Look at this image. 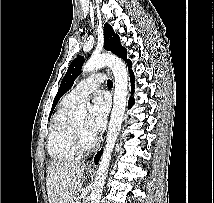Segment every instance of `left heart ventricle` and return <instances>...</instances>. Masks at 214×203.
I'll list each match as a JSON object with an SVG mask.
<instances>
[{
	"label": "left heart ventricle",
	"instance_id": "left-heart-ventricle-1",
	"mask_svg": "<svg viewBox=\"0 0 214 203\" xmlns=\"http://www.w3.org/2000/svg\"><path fill=\"white\" fill-rule=\"evenodd\" d=\"M75 124H76L80 129H82V131L84 132L86 141H90L91 136H92L93 134H91V133L87 130V128H86V120H85V119H81V120L77 121Z\"/></svg>",
	"mask_w": 214,
	"mask_h": 203
}]
</instances>
